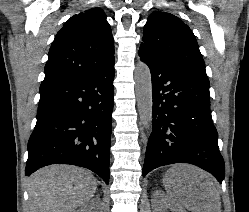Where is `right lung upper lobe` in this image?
<instances>
[{"instance_id":"cb5924a9","label":"right lung upper lobe","mask_w":249,"mask_h":212,"mask_svg":"<svg viewBox=\"0 0 249 212\" xmlns=\"http://www.w3.org/2000/svg\"><path fill=\"white\" fill-rule=\"evenodd\" d=\"M114 61V40L102 9L71 17L57 33L40 91L91 75Z\"/></svg>"}]
</instances>
